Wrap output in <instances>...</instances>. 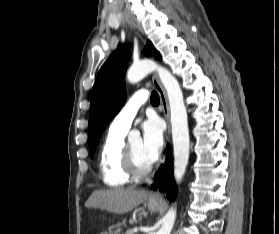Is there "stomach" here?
<instances>
[{
  "label": "stomach",
  "instance_id": "1",
  "mask_svg": "<svg viewBox=\"0 0 279 234\" xmlns=\"http://www.w3.org/2000/svg\"><path fill=\"white\" fill-rule=\"evenodd\" d=\"M159 206H160L159 202H152L150 200L147 201V207L151 212L156 211Z\"/></svg>",
  "mask_w": 279,
  "mask_h": 234
}]
</instances>
